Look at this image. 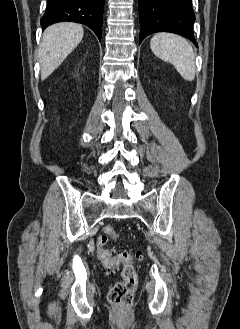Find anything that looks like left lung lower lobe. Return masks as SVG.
Listing matches in <instances>:
<instances>
[{
    "label": "left lung lower lobe",
    "mask_w": 240,
    "mask_h": 329,
    "mask_svg": "<svg viewBox=\"0 0 240 329\" xmlns=\"http://www.w3.org/2000/svg\"><path fill=\"white\" fill-rule=\"evenodd\" d=\"M140 43L155 32H172L197 45L193 34L192 0H138Z\"/></svg>",
    "instance_id": "1"
}]
</instances>
